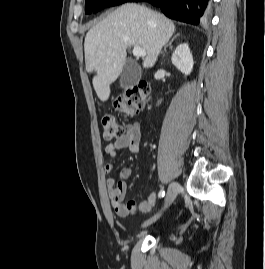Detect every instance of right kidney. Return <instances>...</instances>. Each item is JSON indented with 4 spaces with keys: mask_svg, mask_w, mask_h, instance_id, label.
Returning <instances> with one entry per match:
<instances>
[{
    "mask_svg": "<svg viewBox=\"0 0 265 269\" xmlns=\"http://www.w3.org/2000/svg\"><path fill=\"white\" fill-rule=\"evenodd\" d=\"M172 64L176 66L183 74L189 75L193 69V56L187 43L177 46L172 54Z\"/></svg>",
    "mask_w": 265,
    "mask_h": 269,
    "instance_id": "obj_1",
    "label": "right kidney"
}]
</instances>
